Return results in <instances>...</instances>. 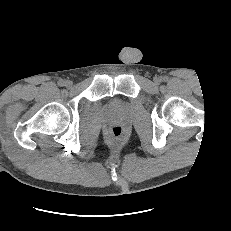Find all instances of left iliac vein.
<instances>
[{"label": "left iliac vein", "mask_w": 231, "mask_h": 231, "mask_svg": "<svg viewBox=\"0 0 231 231\" xmlns=\"http://www.w3.org/2000/svg\"><path fill=\"white\" fill-rule=\"evenodd\" d=\"M161 82V79L159 77L154 78V83L159 84Z\"/></svg>", "instance_id": "1"}]
</instances>
